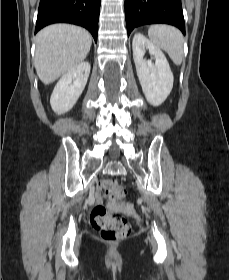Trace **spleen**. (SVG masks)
Instances as JSON below:
<instances>
[{"label":"spleen","mask_w":229,"mask_h":280,"mask_svg":"<svg viewBox=\"0 0 229 280\" xmlns=\"http://www.w3.org/2000/svg\"><path fill=\"white\" fill-rule=\"evenodd\" d=\"M148 36L156 47L167 52L176 65L182 63L184 39L177 28L162 24L152 25L148 29Z\"/></svg>","instance_id":"spleen-1"}]
</instances>
